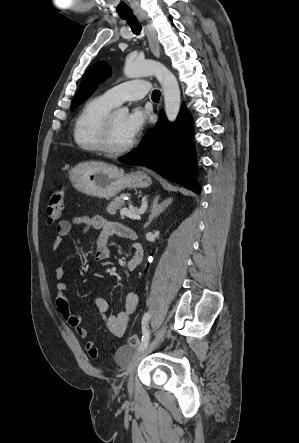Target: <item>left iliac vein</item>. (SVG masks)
<instances>
[{
    "label": "left iliac vein",
    "mask_w": 299,
    "mask_h": 443,
    "mask_svg": "<svg viewBox=\"0 0 299 443\" xmlns=\"http://www.w3.org/2000/svg\"><path fill=\"white\" fill-rule=\"evenodd\" d=\"M165 332H166V327H162L156 333L155 337L151 340V342L149 344H147V346L143 350H140L137 354H135L133 356V358L131 359L128 369H127L128 375H129L128 389L130 391H132L133 387H134V375H135L138 364L147 354H149L151 351H153L155 349V347L157 346L159 341L163 338Z\"/></svg>",
    "instance_id": "4c4485c4"
}]
</instances>
